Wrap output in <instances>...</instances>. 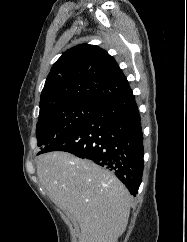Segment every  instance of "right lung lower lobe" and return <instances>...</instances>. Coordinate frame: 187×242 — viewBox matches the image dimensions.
Listing matches in <instances>:
<instances>
[{
	"label": "right lung lower lobe",
	"mask_w": 187,
	"mask_h": 242,
	"mask_svg": "<svg viewBox=\"0 0 187 242\" xmlns=\"http://www.w3.org/2000/svg\"><path fill=\"white\" fill-rule=\"evenodd\" d=\"M50 151L70 152L111 170L135 196L143 173V136L132 92L107 103L39 154Z\"/></svg>",
	"instance_id": "obj_1"
}]
</instances>
